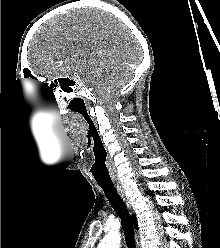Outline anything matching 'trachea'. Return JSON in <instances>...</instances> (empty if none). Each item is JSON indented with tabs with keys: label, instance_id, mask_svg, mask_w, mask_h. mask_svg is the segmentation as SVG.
Here are the masks:
<instances>
[{
	"label": "trachea",
	"instance_id": "obj_1",
	"mask_svg": "<svg viewBox=\"0 0 220 248\" xmlns=\"http://www.w3.org/2000/svg\"><path fill=\"white\" fill-rule=\"evenodd\" d=\"M104 191L109 203L121 219L124 230L125 241L128 248H136L134 239V228L130 214L120 195L117 193L113 183L99 184Z\"/></svg>",
	"mask_w": 220,
	"mask_h": 248
}]
</instances>
